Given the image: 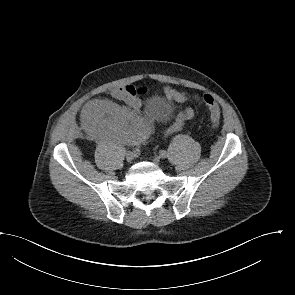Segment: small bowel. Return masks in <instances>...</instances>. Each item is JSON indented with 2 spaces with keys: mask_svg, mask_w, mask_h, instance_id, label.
<instances>
[{
  "mask_svg": "<svg viewBox=\"0 0 295 295\" xmlns=\"http://www.w3.org/2000/svg\"><path fill=\"white\" fill-rule=\"evenodd\" d=\"M165 96L177 103H184L188 95L171 86H165ZM145 93L144 88L133 85L116 87L111 95L118 100L124 101L131 110L119 108L107 100H93L88 102L82 110L84 123L99 135L122 143L140 144L149 137L153 130L151 121L139 113L142 106L141 96ZM196 101H201L199 96H194ZM194 111L186 107L179 114L176 121L168 132L173 133L181 129L183 123L191 119ZM217 126L218 123H213Z\"/></svg>",
  "mask_w": 295,
  "mask_h": 295,
  "instance_id": "small-bowel-1",
  "label": "small bowel"
}]
</instances>
